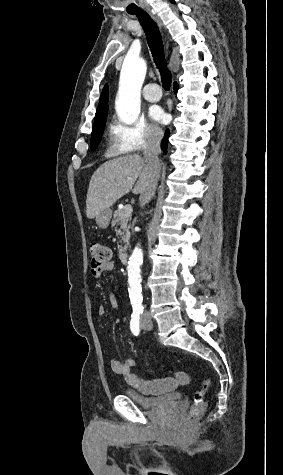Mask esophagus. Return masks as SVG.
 Listing matches in <instances>:
<instances>
[{
  "label": "esophagus",
  "mask_w": 283,
  "mask_h": 475,
  "mask_svg": "<svg viewBox=\"0 0 283 475\" xmlns=\"http://www.w3.org/2000/svg\"><path fill=\"white\" fill-rule=\"evenodd\" d=\"M150 15H151V17L153 18V20H155V22H157V24L159 25V27H162V23H161L160 18L157 17L156 15L151 14V13H150Z\"/></svg>",
  "instance_id": "34e87169"
}]
</instances>
